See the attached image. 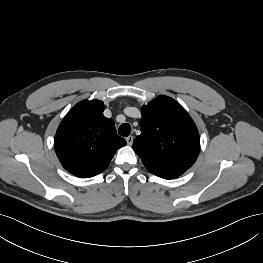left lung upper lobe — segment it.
<instances>
[{
	"label": "left lung upper lobe",
	"instance_id": "left-lung-upper-lobe-1",
	"mask_svg": "<svg viewBox=\"0 0 263 263\" xmlns=\"http://www.w3.org/2000/svg\"><path fill=\"white\" fill-rule=\"evenodd\" d=\"M141 134L133 143L145 168L152 174L168 178L188 170L200 151L196 125L174 99L160 95L142 107Z\"/></svg>",
	"mask_w": 263,
	"mask_h": 263
}]
</instances>
